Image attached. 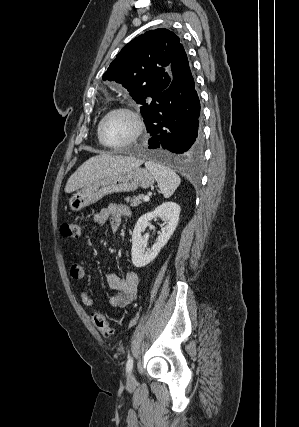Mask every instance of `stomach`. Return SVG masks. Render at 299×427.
<instances>
[{
	"label": "stomach",
	"instance_id": "stomach-1",
	"mask_svg": "<svg viewBox=\"0 0 299 427\" xmlns=\"http://www.w3.org/2000/svg\"><path fill=\"white\" fill-rule=\"evenodd\" d=\"M153 184L154 177L151 172L135 167L109 175L83 187L69 198L68 204L72 211L78 212L107 195L132 192L139 187L146 189Z\"/></svg>",
	"mask_w": 299,
	"mask_h": 427
}]
</instances>
